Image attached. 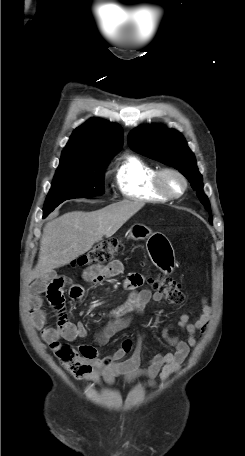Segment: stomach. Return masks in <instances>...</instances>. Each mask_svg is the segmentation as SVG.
I'll use <instances>...</instances> for the list:
<instances>
[{
	"label": "stomach",
	"mask_w": 245,
	"mask_h": 456,
	"mask_svg": "<svg viewBox=\"0 0 245 456\" xmlns=\"http://www.w3.org/2000/svg\"><path fill=\"white\" fill-rule=\"evenodd\" d=\"M129 237L133 240L147 239V251L153 264L164 273H170L175 264V254L168 238L160 233H153L143 224H134L129 229ZM159 234V235H158Z\"/></svg>",
	"instance_id": "stomach-1"
}]
</instances>
